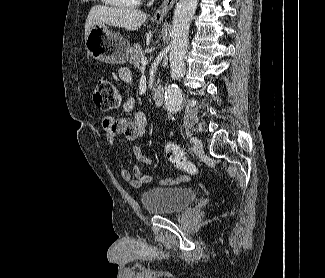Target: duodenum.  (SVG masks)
Listing matches in <instances>:
<instances>
[{"label": "duodenum", "instance_id": "410a0bca", "mask_svg": "<svg viewBox=\"0 0 325 278\" xmlns=\"http://www.w3.org/2000/svg\"><path fill=\"white\" fill-rule=\"evenodd\" d=\"M153 99L157 106L161 107L164 104V90L161 85H157L153 90Z\"/></svg>", "mask_w": 325, "mask_h": 278}]
</instances>
